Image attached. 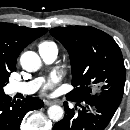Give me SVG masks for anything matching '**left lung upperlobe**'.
<instances>
[{"mask_svg": "<svg viewBox=\"0 0 130 130\" xmlns=\"http://www.w3.org/2000/svg\"><path fill=\"white\" fill-rule=\"evenodd\" d=\"M67 49L74 89L66 94L72 101L96 97L119 105L125 84L121 50L107 33L90 26L58 27L50 30ZM103 85L99 95L94 86Z\"/></svg>", "mask_w": 130, "mask_h": 130, "instance_id": "obj_1", "label": "left lung upper lobe"}]
</instances>
